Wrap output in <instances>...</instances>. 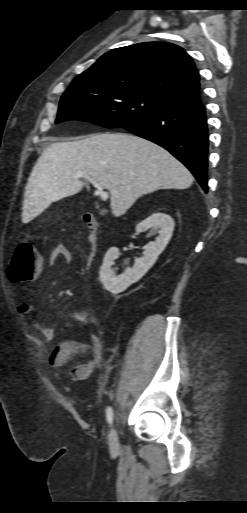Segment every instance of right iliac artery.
I'll list each match as a JSON object with an SVG mask.
<instances>
[{"instance_id":"82829eb1","label":"right iliac artery","mask_w":247,"mask_h":513,"mask_svg":"<svg viewBox=\"0 0 247 513\" xmlns=\"http://www.w3.org/2000/svg\"><path fill=\"white\" fill-rule=\"evenodd\" d=\"M106 417L109 424H112L113 422V409L111 407H108L106 409Z\"/></svg>"}]
</instances>
